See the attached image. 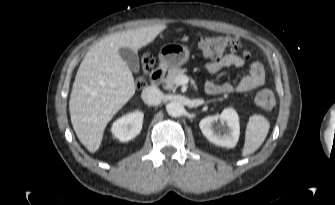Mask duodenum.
Masks as SVG:
<instances>
[{
    "instance_id": "duodenum-1",
    "label": "duodenum",
    "mask_w": 335,
    "mask_h": 205,
    "mask_svg": "<svg viewBox=\"0 0 335 205\" xmlns=\"http://www.w3.org/2000/svg\"><path fill=\"white\" fill-rule=\"evenodd\" d=\"M166 67L163 63L158 64V66L151 72L150 81L153 85H158L161 83L165 75ZM205 92L208 94H213L211 90L205 88Z\"/></svg>"
}]
</instances>
